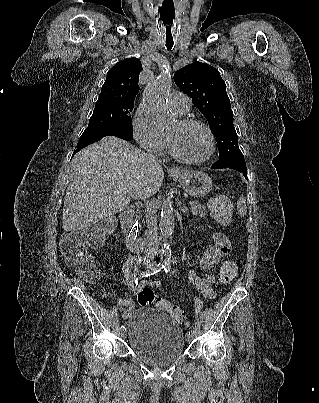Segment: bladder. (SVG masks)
<instances>
[{
    "label": "bladder",
    "mask_w": 319,
    "mask_h": 403,
    "mask_svg": "<svg viewBox=\"0 0 319 403\" xmlns=\"http://www.w3.org/2000/svg\"><path fill=\"white\" fill-rule=\"evenodd\" d=\"M128 346L142 362L165 367L185 353L181 326L167 314L150 308L132 312L127 320Z\"/></svg>",
    "instance_id": "1"
}]
</instances>
